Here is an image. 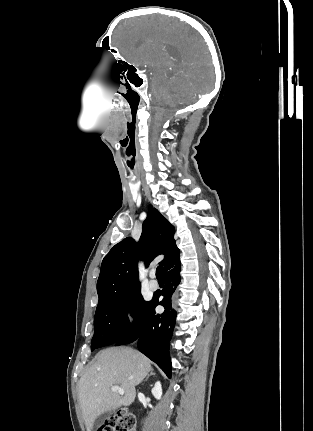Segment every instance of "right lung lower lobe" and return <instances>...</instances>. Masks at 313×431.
<instances>
[{
	"instance_id": "98d812e1",
	"label": "right lung lower lobe",
	"mask_w": 313,
	"mask_h": 431,
	"mask_svg": "<svg viewBox=\"0 0 313 431\" xmlns=\"http://www.w3.org/2000/svg\"><path fill=\"white\" fill-rule=\"evenodd\" d=\"M179 283L180 261L178 254L165 269V287L160 293L164 298L159 302L160 295H154L144 308L138 324L115 342V345L119 346L138 339L139 351L154 361L169 378L172 370L169 340L176 320V311L172 307L171 297ZM158 304L165 308L161 315L155 312V307Z\"/></svg>"
}]
</instances>
